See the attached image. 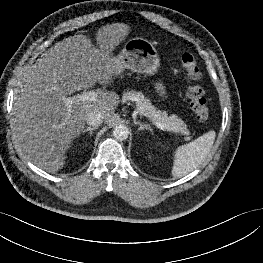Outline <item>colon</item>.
<instances>
[{
  "mask_svg": "<svg viewBox=\"0 0 263 263\" xmlns=\"http://www.w3.org/2000/svg\"><path fill=\"white\" fill-rule=\"evenodd\" d=\"M181 65L185 71L190 85L186 91V100L200 122H207L210 118V109L207 104L205 92L198 81L201 73L197 64L196 57L189 51L181 54Z\"/></svg>",
  "mask_w": 263,
  "mask_h": 263,
  "instance_id": "colon-1",
  "label": "colon"
}]
</instances>
